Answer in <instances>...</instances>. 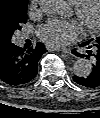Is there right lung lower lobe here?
<instances>
[{
  "label": "right lung lower lobe",
  "instance_id": "1",
  "mask_svg": "<svg viewBox=\"0 0 100 118\" xmlns=\"http://www.w3.org/2000/svg\"><path fill=\"white\" fill-rule=\"evenodd\" d=\"M45 52L40 42L27 50L11 42L0 45V80L13 86L30 82L36 76L38 61Z\"/></svg>",
  "mask_w": 100,
  "mask_h": 118
}]
</instances>
